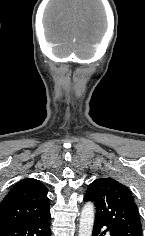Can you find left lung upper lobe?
<instances>
[{
  "instance_id": "1",
  "label": "left lung upper lobe",
  "mask_w": 145,
  "mask_h": 236,
  "mask_svg": "<svg viewBox=\"0 0 145 236\" xmlns=\"http://www.w3.org/2000/svg\"><path fill=\"white\" fill-rule=\"evenodd\" d=\"M96 207V219L102 221L115 236H142L139 212L130 190L113 178L94 180L84 201Z\"/></svg>"
}]
</instances>
